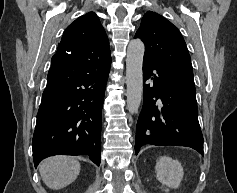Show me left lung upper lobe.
Returning a JSON list of instances; mask_svg holds the SVG:
<instances>
[{
	"instance_id": "1",
	"label": "left lung upper lobe",
	"mask_w": 237,
	"mask_h": 193,
	"mask_svg": "<svg viewBox=\"0 0 237 193\" xmlns=\"http://www.w3.org/2000/svg\"><path fill=\"white\" fill-rule=\"evenodd\" d=\"M145 44L144 59L174 73L193 78L189 52L176 26L161 15L148 11L135 38Z\"/></svg>"
}]
</instances>
